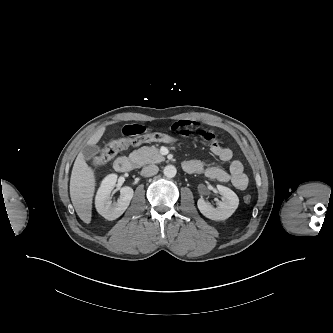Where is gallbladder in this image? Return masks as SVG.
<instances>
[{"mask_svg":"<svg viewBox=\"0 0 333 333\" xmlns=\"http://www.w3.org/2000/svg\"><path fill=\"white\" fill-rule=\"evenodd\" d=\"M99 152L100 149L96 145H86L82 149V153L87 159L94 158Z\"/></svg>","mask_w":333,"mask_h":333,"instance_id":"bac80fb5","label":"gallbladder"}]
</instances>
